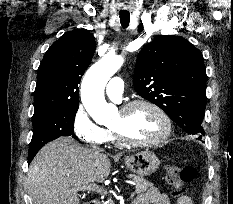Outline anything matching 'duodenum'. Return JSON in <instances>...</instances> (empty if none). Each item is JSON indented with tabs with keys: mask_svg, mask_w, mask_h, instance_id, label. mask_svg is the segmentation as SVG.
<instances>
[{
	"mask_svg": "<svg viewBox=\"0 0 233 204\" xmlns=\"http://www.w3.org/2000/svg\"><path fill=\"white\" fill-rule=\"evenodd\" d=\"M88 204H99V202L96 200H93V201L89 202Z\"/></svg>",
	"mask_w": 233,
	"mask_h": 204,
	"instance_id": "obj_1",
	"label": "duodenum"
}]
</instances>
